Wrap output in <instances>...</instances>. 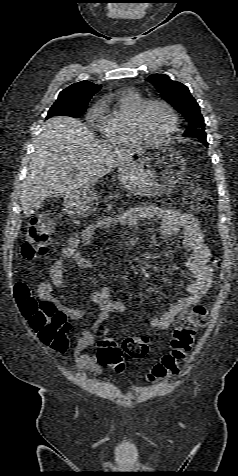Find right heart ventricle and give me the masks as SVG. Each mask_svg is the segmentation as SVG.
I'll return each mask as SVG.
<instances>
[{"label":"right heart ventricle","instance_id":"obj_1","mask_svg":"<svg viewBox=\"0 0 238 476\" xmlns=\"http://www.w3.org/2000/svg\"><path fill=\"white\" fill-rule=\"evenodd\" d=\"M144 98L133 90H123L109 96L97 108V130L113 145L142 143L134 129V115Z\"/></svg>","mask_w":238,"mask_h":476}]
</instances>
